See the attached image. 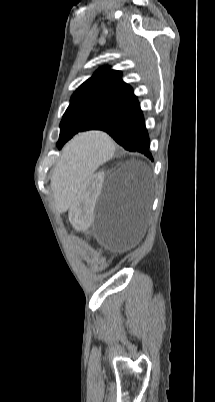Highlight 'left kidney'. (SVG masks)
Listing matches in <instances>:
<instances>
[{
  "mask_svg": "<svg viewBox=\"0 0 215 402\" xmlns=\"http://www.w3.org/2000/svg\"><path fill=\"white\" fill-rule=\"evenodd\" d=\"M94 175L93 182H86L83 184L81 193L75 199L70 214V221L73 222L77 232H88V222L92 221V209L94 208V201L97 198V193L101 191L102 178L107 176L105 169H99L97 174Z\"/></svg>",
  "mask_w": 215,
  "mask_h": 402,
  "instance_id": "5707ae66",
  "label": "left kidney"
}]
</instances>
